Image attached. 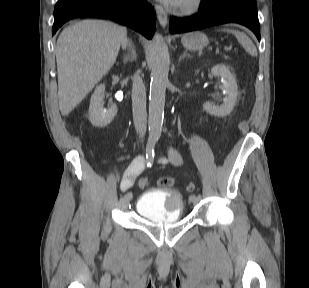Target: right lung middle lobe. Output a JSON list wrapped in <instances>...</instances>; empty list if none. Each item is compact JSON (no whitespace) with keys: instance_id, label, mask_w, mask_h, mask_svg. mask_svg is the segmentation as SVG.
I'll return each mask as SVG.
<instances>
[{"instance_id":"obj_1","label":"right lung middle lobe","mask_w":309,"mask_h":288,"mask_svg":"<svg viewBox=\"0 0 309 288\" xmlns=\"http://www.w3.org/2000/svg\"><path fill=\"white\" fill-rule=\"evenodd\" d=\"M70 0H58L56 7H60L64 4H66L67 2H69Z\"/></svg>"}]
</instances>
